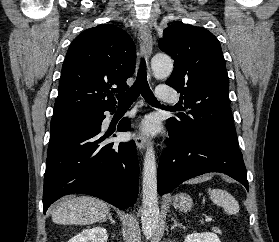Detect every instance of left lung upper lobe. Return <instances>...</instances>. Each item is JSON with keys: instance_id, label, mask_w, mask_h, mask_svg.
<instances>
[{"instance_id": "1", "label": "left lung upper lobe", "mask_w": 279, "mask_h": 242, "mask_svg": "<svg viewBox=\"0 0 279 242\" xmlns=\"http://www.w3.org/2000/svg\"><path fill=\"white\" fill-rule=\"evenodd\" d=\"M159 46L174 60L166 84L180 93L181 104L190 109L169 118L167 125L189 142L213 139L238 147L218 39L204 28L175 24L164 30Z\"/></svg>"}]
</instances>
